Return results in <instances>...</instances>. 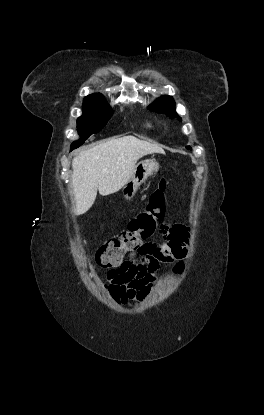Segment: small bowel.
Returning a JSON list of instances; mask_svg holds the SVG:
<instances>
[{
  "label": "small bowel",
  "mask_w": 264,
  "mask_h": 415,
  "mask_svg": "<svg viewBox=\"0 0 264 415\" xmlns=\"http://www.w3.org/2000/svg\"><path fill=\"white\" fill-rule=\"evenodd\" d=\"M188 239L186 230L173 226L163 243H148L122 269L109 270L105 289L113 296L124 290V297L120 299L124 303L142 301L149 294L160 264L182 261L187 257Z\"/></svg>",
  "instance_id": "obj_1"
}]
</instances>
